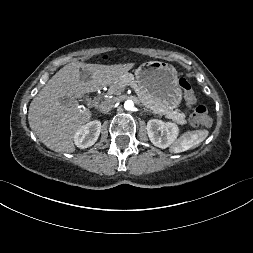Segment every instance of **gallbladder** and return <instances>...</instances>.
Wrapping results in <instances>:
<instances>
[{
	"mask_svg": "<svg viewBox=\"0 0 253 253\" xmlns=\"http://www.w3.org/2000/svg\"><path fill=\"white\" fill-rule=\"evenodd\" d=\"M83 99H85V101L88 100L87 96H85V95L83 96ZM61 103L65 104V105H68V100H67V98H62V99H61Z\"/></svg>",
	"mask_w": 253,
	"mask_h": 253,
	"instance_id": "gallbladder-1",
	"label": "gallbladder"
}]
</instances>
